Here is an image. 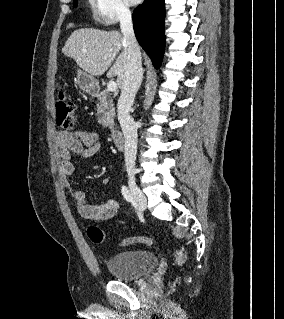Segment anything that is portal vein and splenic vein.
<instances>
[{"label":"portal vein and splenic vein","mask_w":284,"mask_h":319,"mask_svg":"<svg viewBox=\"0 0 284 319\" xmlns=\"http://www.w3.org/2000/svg\"><path fill=\"white\" fill-rule=\"evenodd\" d=\"M117 90V83L115 81H109L107 84V91L114 92Z\"/></svg>","instance_id":"18ae733b"}]
</instances>
